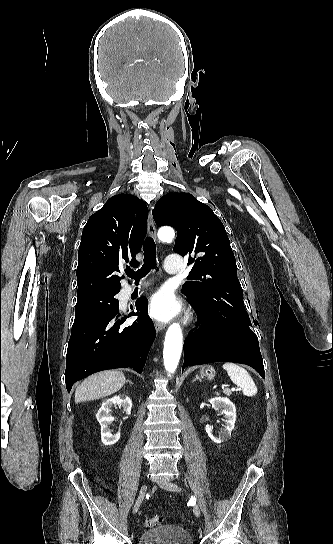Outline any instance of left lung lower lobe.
I'll list each match as a JSON object with an SVG mask.
<instances>
[{"mask_svg": "<svg viewBox=\"0 0 333 544\" xmlns=\"http://www.w3.org/2000/svg\"><path fill=\"white\" fill-rule=\"evenodd\" d=\"M200 327L184 342V364L200 365L225 361L247 364L262 378L265 377L263 359L256 335L241 324L215 318L198 308Z\"/></svg>", "mask_w": 333, "mask_h": 544, "instance_id": "0a47b994", "label": "left lung lower lobe"}]
</instances>
